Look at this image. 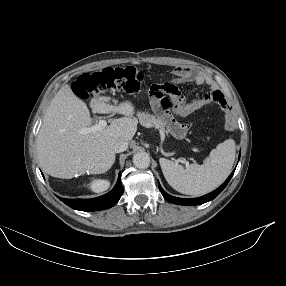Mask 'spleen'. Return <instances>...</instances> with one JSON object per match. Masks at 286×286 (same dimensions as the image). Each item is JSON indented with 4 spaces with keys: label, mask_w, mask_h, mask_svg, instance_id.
<instances>
[{
    "label": "spleen",
    "mask_w": 286,
    "mask_h": 286,
    "mask_svg": "<svg viewBox=\"0 0 286 286\" xmlns=\"http://www.w3.org/2000/svg\"><path fill=\"white\" fill-rule=\"evenodd\" d=\"M235 160V142L227 139L213 149L203 165L193 163L183 167L160 158V166L169 185L182 194L204 195L221 185L231 172Z\"/></svg>",
    "instance_id": "spleen-1"
}]
</instances>
